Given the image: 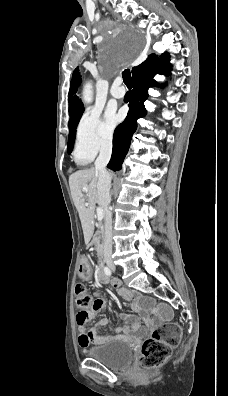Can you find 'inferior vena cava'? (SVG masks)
I'll use <instances>...</instances> for the list:
<instances>
[{
    "instance_id": "obj_1",
    "label": "inferior vena cava",
    "mask_w": 228,
    "mask_h": 396,
    "mask_svg": "<svg viewBox=\"0 0 228 396\" xmlns=\"http://www.w3.org/2000/svg\"><path fill=\"white\" fill-rule=\"evenodd\" d=\"M112 153V142L105 141L101 145L100 154L95 161V168L98 171L97 190L101 199L105 217V236L103 244L104 255L112 254V214L109 210L111 202L110 188L111 175L106 170Z\"/></svg>"
}]
</instances>
